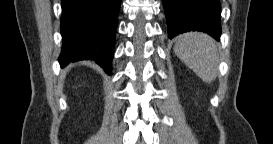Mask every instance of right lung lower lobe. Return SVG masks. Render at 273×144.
Wrapping results in <instances>:
<instances>
[{
  "label": "right lung lower lobe",
  "mask_w": 273,
  "mask_h": 144,
  "mask_svg": "<svg viewBox=\"0 0 273 144\" xmlns=\"http://www.w3.org/2000/svg\"><path fill=\"white\" fill-rule=\"evenodd\" d=\"M121 0H62V67L94 60L111 74L117 16Z\"/></svg>",
  "instance_id": "obj_1"
}]
</instances>
